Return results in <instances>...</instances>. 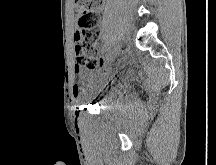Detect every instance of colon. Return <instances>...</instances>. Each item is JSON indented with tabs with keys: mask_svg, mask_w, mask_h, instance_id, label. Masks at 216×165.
I'll return each instance as SVG.
<instances>
[{
	"mask_svg": "<svg viewBox=\"0 0 216 165\" xmlns=\"http://www.w3.org/2000/svg\"><path fill=\"white\" fill-rule=\"evenodd\" d=\"M104 0H75L78 26L74 34L76 65L81 69L96 72L102 62L96 48L100 35L98 8Z\"/></svg>",
	"mask_w": 216,
	"mask_h": 165,
	"instance_id": "1",
	"label": "colon"
}]
</instances>
